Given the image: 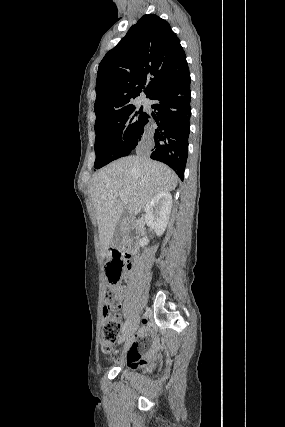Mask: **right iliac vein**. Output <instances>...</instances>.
<instances>
[{
	"label": "right iliac vein",
	"instance_id": "1",
	"mask_svg": "<svg viewBox=\"0 0 285 427\" xmlns=\"http://www.w3.org/2000/svg\"><path fill=\"white\" fill-rule=\"evenodd\" d=\"M139 324V316H135L129 325V327L126 329L122 337L120 338V343H123L124 341H128L132 338L134 332L136 331Z\"/></svg>",
	"mask_w": 285,
	"mask_h": 427
}]
</instances>
